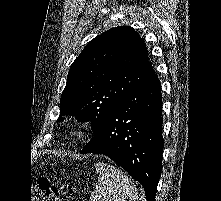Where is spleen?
Returning <instances> with one entry per match:
<instances>
[{
	"mask_svg": "<svg viewBox=\"0 0 221 201\" xmlns=\"http://www.w3.org/2000/svg\"><path fill=\"white\" fill-rule=\"evenodd\" d=\"M94 166L99 177L90 201L138 200L136 187L122 170L103 162H98Z\"/></svg>",
	"mask_w": 221,
	"mask_h": 201,
	"instance_id": "obj_1",
	"label": "spleen"
}]
</instances>
